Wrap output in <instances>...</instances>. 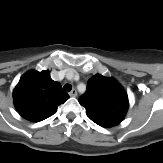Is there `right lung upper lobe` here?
Instances as JSON below:
<instances>
[{
	"mask_svg": "<svg viewBox=\"0 0 163 163\" xmlns=\"http://www.w3.org/2000/svg\"><path fill=\"white\" fill-rule=\"evenodd\" d=\"M68 98L69 95L62 91L60 83L53 81L50 72L46 70L27 72L13 91L17 112L33 122L42 121L53 115L57 107Z\"/></svg>",
	"mask_w": 163,
	"mask_h": 163,
	"instance_id": "1",
	"label": "right lung upper lobe"
}]
</instances>
